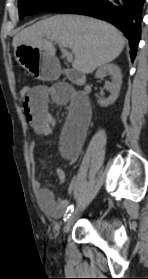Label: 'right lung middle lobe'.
<instances>
[{
  "label": "right lung middle lobe",
  "instance_id": "right-lung-middle-lobe-1",
  "mask_svg": "<svg viewBox=\"0 0 148 279\" xmlns=\"http://www.w3.org/2000/svg\"><path fill=\"white\" fill-rule=\"evenodd\" d=\"M81 0H18L19 17L33 15L41 11H60Z\"/></svg>",
  "mask_w": 148,
  "mask_h": 279
}]
</instances>
